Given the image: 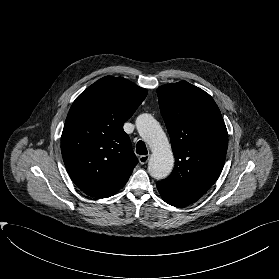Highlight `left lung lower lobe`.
Segmentation results:
<instances>
[{"label": "left lung lower lobe", "instance_id": "1", "mask_svg": "<svg viewBox=\"0 0 279 279\" xmlns=\"http://www.w3.org/2000/svg\"><path fill=\"white\" fill-rule=\"evenodd\" d=\"M157 189L162 199L166 203L176 207L187 206L196 202L201 197L192 193L178 190L163 181L157 182Z\"/></svg>", "mask_w": 279, "mask_h": 279}]
</instances>
